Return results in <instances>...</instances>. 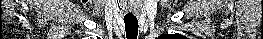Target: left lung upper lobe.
I'll return each mask as SVG.
<instances>
[{"mask_svg": "<svg viewBox=\"0 0 263 39\" xmlns=\"http://www.w3.org/2000/svg\"><path fill=\"white\" fill-rule=\"evenodd\" d=\"M175 35L163 34V35L159 36L158 39H161V38H164V39H179V37H175Z\"/></svg>", "mask_w": 263, "mask_h": 39, "instance_id": "left-lung-upper-lobe-1", "label": "left lung upper lobe"}]
</instances>
